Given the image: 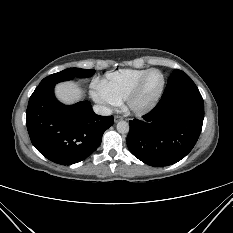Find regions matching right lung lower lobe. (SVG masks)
<instances>
[{
    "instance_id": "1",
    "label": "right lung lower lobe",
    "mask_w": 233,
    "mask_h": 233,
    "mask_svg": "<svg viewBox=\"0 0 233 233\" xmlns=\"http://www.w3.org/2000/svg\"><path fill=\"white\" fill-rule=\"evenodd\" d=\"M70 79L48 76L31 95L26 125L32 144L47 159L71 165L84 160L101 144L113 125V116L96 115L90 102L64 105L54 96V86Z\"/></svg>"
}]
</instances>
